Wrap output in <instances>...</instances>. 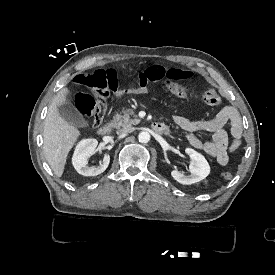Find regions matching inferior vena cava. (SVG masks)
Masks as SVG:
<instances>
[{
	"label": "inferior vena cava",
	"instance_id": "obj_1",
	"mask_svg": "<svg viewBox=\"0 0 275 275\" xmlns=\"http://www.w3.org/2000/svg\"><path fill=\"white\" fill-rule=\"evenodd\" d=\"M134 131V128L133 127H126V128H123V129H120L117 131V134L118 135H123V134H128V133H132Z\"/></svg>",
	"mask_w": 275,
	"mask_h": 275
}]
</instances>
